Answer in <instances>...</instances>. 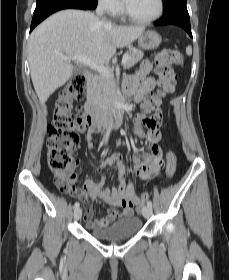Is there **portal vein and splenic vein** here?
<instances>
[{
  "label": "portal vein and splenic vein",
  "instance_id": "1",
  "mask_svg": "<svg viewBox=\"0 0 229 280\" xmlns=\"http://www.w3.org/2000/svg\"><path fill=\"white\" fill-rule=\"evenodd\" d=\"M63 59H69L73 61H78L82 63L83 65L90 67L91 69L98 71L101 75L112 77L113 74L111 70L107 67H105L103 64L96 63L92 61L90 58L86 56H72V57H67V56H62ZM128 61V54H124L122 57V65L125 67L126 63Z\"/></svg>",
  "mask_w": 229,
  "mask_h": 280
}]
</instances>
